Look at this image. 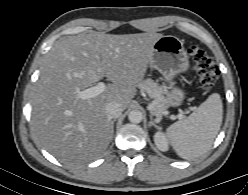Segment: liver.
<instances>
[{"label":"liver","instance_id":"1","mask_svg":"<svg viewBox=\"0 0 248 195\" xmlns=\"http://www.w3.org/2000/svg\"><path fill=\"white\" fill-rule=\"evenodd\" d=\"M163 34L90 33L59 40L45 55L32 100V129L43 147L66 165L98 158L113 133L105 107L126 109L143 81L153 45ZM107 77L105 91H79Z\"/></svg>","mask_w":248,"mask_h":195}]
</instances>
